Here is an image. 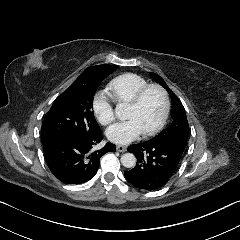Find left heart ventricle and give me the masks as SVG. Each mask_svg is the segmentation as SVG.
I'll list each match as a JSON object with an SVG mask.
<instances>
[{
	"mask_svg": "<svg viewBox=\"0 0 240 240\" xmlns=\"http://www.w3.org/2000/svg\"><path fill=\"white\" fill-rule=\"evenodd\" d=\"M162 109L161 94L157 90H150L137 108H125L124 119L134 120L142 131H148L159 122Z\"/></svg>",
	"mask_w": 240,
	"mask_h": 240,
	"instance_id": "obj_1",
	"label": "left heart ventricle"
}]
</instances>
